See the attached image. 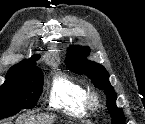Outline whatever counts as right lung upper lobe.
<instances>
[{"label":"right lung upper lobe","instance_id":"cb5924a9","mask_svg":"<svg viewBox=\"0 0 145 124\" xmlns=\"http://www.w3.org/2000/svg\"><path fill=\"white\" fill-rule=\"evenodd\" d=\"M39 55H33L30 59L24 60L13 67L10 68V70L7 73V77L21 75L24 73H27L31 71L33 68H35L36 61L39 59Z\"/></svg>","mask_w":145,"mask_h":124}]
</instances>
